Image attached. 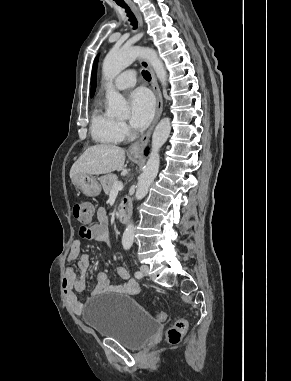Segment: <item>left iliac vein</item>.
Here are the masks:
<instances>
[{
  "label": "left iliac vein",
  "mask_w": 291,
  "mask_h": 381,
  "mask_svg": "<svg viewBox=\"0 0 291 381\" xmlns=\"http://www.w3.org/2000/svg\"><path fill=\"white\" fill-rule=\"evenodd\" d=\"M149 271V267L147 265H142L140 267V272L142 273L143 276H147Z\"/></svg>",
  "instance_id": "left-iliac-vein-1"
}]
</instances>
